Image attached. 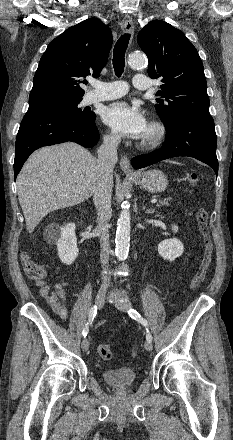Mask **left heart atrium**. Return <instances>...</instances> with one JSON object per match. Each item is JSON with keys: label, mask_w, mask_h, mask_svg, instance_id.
<instances>
[{"label": "left heart atrium", "mask_w": 233, "mask_h": 440, "mask_svg": "<svg viewBox=\"0 0 233 440\" xmlns=\"http://www.w3.org/2000/svg\"><path fill=\"white\" fill-rule=\"evenodd\" d=\"M103 122L120 136L140 138L148 125L142 112L126 102H115L107 106L102 114Z\"/></svg>", "instance_id": "left-heart-atrium-1"}]
</instances>
